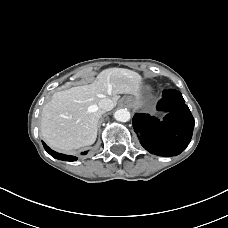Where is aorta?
<instances>
[{
  "label": "aorta",
  "mask_w": 228,
  "mask_h": 228,
  "mask_svg": "<svg viewBox=\"0 0 228 228\" xmlns=\"http://www.w3.org/2000/svg\"><path fill=\"white\" fill-rule=\"evenodd\" d=\"M114 118L120 122H127L130 120V112L127 109H119L114 113Z\"/></svg>",
  "instance_id": "obj_1"
}]
</instances>
